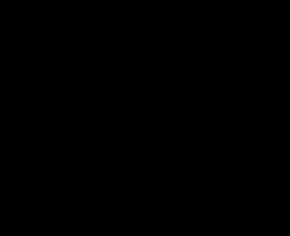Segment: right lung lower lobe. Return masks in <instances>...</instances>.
<instances>
[{
    "label": "right lung lower lobe",
    "instance_id": "98d812e1",
    "mask_svg": "<svg viewBox=\"0 0 290 236\" xmlns=\"http://www.w3.org/2000/svg\"><path fill=\"white\" fill-rule=\"evenodd\" d=\"M51 137L70 177L99 196H111L127 183L139 154L151 142L132 110L62 107L50 115Z\"/></svg>",
    "mask_w": 290,
    "mask_h": 236
}]
</instances>
